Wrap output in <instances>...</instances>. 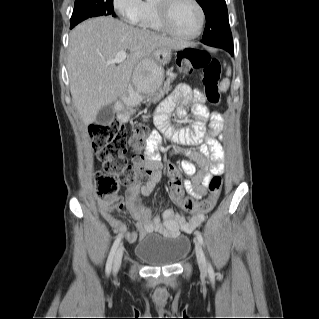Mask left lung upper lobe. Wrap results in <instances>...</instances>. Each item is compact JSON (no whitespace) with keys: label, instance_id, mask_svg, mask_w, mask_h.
I'll use <instances>...</instances> for the list:
<instances>
[{"label":"left lung upper lobe","instance_id":"obj_1","mask_svg":"<svg viewBox=\"0 0 319 319\" xmlns=\"http://www.w3.org/2000/svg\"><path fill=\"white\" fill-rule=\"evenodd\" d=\"M196 1L202 7L206 16L202 43L220 48L225 44H233L225 0Z\"/></svg>","mask_w":319,"mask_h":319}]
</instances>
